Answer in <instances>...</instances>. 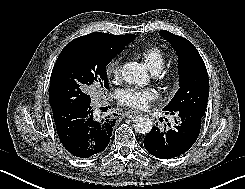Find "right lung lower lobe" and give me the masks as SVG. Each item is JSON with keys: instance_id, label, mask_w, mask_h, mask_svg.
Returning <instances> with one entry per match:
<instances>
[{"instance_id": "right-lung-lower-lobe-1", "label": "right lung lower lobe", "mask_w": 245, "mask_h": 189, "mask_svg": "<svg viewBox=\"0 0 245 189\" xmlns=\"http://www.w3.org/2000/svg\"><path fill=\"white\" fill-rule=\"evenodd\" d=\"M53 117L61 143L68 152L80 158L104 151L115 125L111 116L95 120L90 103L54 109Z\"/></svg>"}]
</instances>
